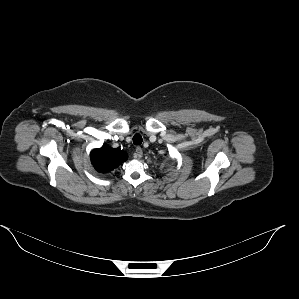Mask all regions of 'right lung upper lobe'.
<instances>
[{"label": "right lung upper lobe", "instance_id": "cb5924a9", "mask_svg": "<svg viewBox=\"0 0 299 299\" xmlns=\"http://www.w3.org/2000/svg\"><path fill=\"white\" fill-rule=\"evenodd\" d=\"M91 162L98 172H109L124 162L128 155L120 148H112L107 145L99 149L92 150L90 154Z\"/></svg>", "mask_w": 299, "mask_h": 299}]
</instances>
